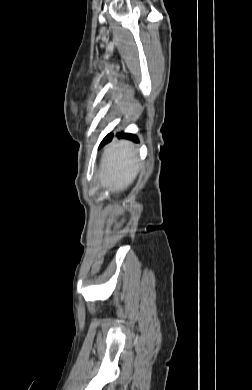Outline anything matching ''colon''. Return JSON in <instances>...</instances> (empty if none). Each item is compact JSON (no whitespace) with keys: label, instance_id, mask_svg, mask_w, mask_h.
<instances>
[{"label":"colon","instance_id":"1","mask_svg":"<svg viewBox=\"0 0 252 390\" xmlns=\"http://www.w3.org/2000/svg\"><path fill=\"white\" fill-rule=\"evenodd\" d=\"M118 228H119V225H117L115 229L117 230Z\"/></svg>","mask_w":252,"mask_h":390}]
</instances>
